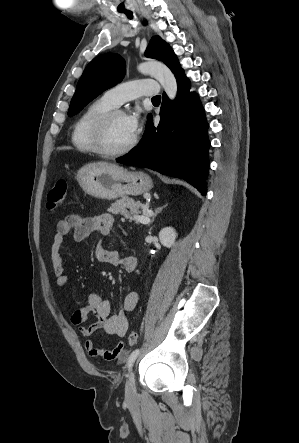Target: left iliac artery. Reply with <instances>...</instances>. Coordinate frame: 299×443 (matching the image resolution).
Here are the masks:
<instances>
[{"mask_svg":"<svg viewBox=\"0 0 299 443\" xmlns=\"http://www.w3.org/2000/svg\"><path fill=\"white\" fill-rule=\"evenodd\" d=\"M139 353H140V349H136V350H134L130 354V356L128 358V361H127V366H128L129 369L132 367V365L135 362V360H136L137 356L139 355Z\"/></svg>","mask_w":299,"mask_h":443,"instance_id":"obj_1","label":"left iliac artery"}]
</instances>
